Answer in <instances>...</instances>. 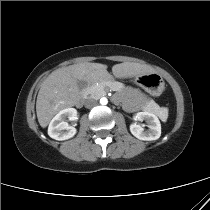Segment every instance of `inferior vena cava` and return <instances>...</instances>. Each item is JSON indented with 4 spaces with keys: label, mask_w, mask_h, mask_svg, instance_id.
Returning a JSON list of instances; mask_svg holds the SVG:
<instances>
[{
    "label": "inferior vena cava",
    "mask_w": 210,
    "mask_h": 210,
    "mask_svg": "<svg viewBox=\"0 0 210 210\" xmlns=\"http://www.w3.org/2000/svg\"><path fill=\"white\" fill-rule=\"evenodd\" d=\"M97 105V100L94 98H89L85 101L86 108H92Z\"/></svg>",
    "instance_id": "602c4592"
}]
</instances>
